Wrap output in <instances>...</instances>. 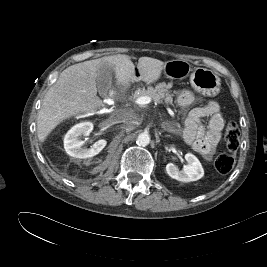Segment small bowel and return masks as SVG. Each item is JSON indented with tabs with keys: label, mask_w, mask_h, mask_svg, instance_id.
I'll use <instances>...</instances> for the list:
<instances>
[{
	"label": "small bowel",
	"mask_w": 267,
	"mask_h": 267,
	"mask_svg": "<svg viewBox=\"0 0 267 267\" xmlns=\"http://www.w3.org/2000/svg\"><path fill=\"white\" fill-rule=\"evenodd\" d=\"M195 97L190 91H183L177 97V104L186 107L192 104ZM208 118L207 126L204 119ZM224 120L220 107L215 101L192 109L185 121L183 138L196 152L205 158H210L220 141Z\"/></svg>",
	"instance_id": "obj_1"
}]
</instances>
